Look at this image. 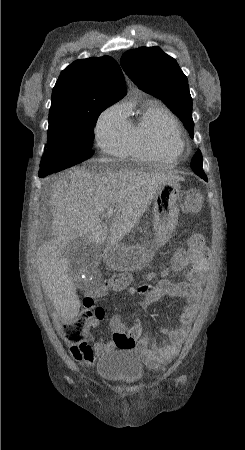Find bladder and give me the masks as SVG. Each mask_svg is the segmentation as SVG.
Segmentation results:
<instances>
[{
	"label": "bladder",
	"instance_id": "obj_1",
	"mask_svg": "<svg viewBox=\"0 0 245 450\" xmlns=\"http://www.w3.org/2000/svg\"><path fill=\"white\" fill-rule=\"evenodd\" d=\"M98 374L101 379L110 384L129 389L143 379L144 370L133 349L124 348L100 359Z\"/></svg>",
	"mask_w": 245,
	"mask_h": 450
}]
</instances>
